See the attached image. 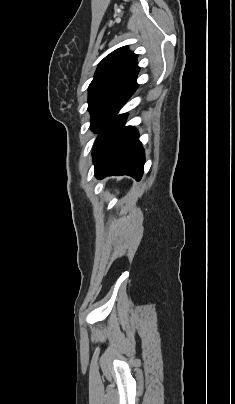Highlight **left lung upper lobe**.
<instances>
[{"label":"left lung upper lobe","instance_id":"5c2ea615","mask_svg":"<svg viewBox=\"0 0 235 404\" xmlns=\"http://www.w3.org/2000/svg\"><path fill=\"white\" fill-rule=\"evenodd\" d=\"M137 56L127 47L119 48L99 64L88 88L91 129L97 132L125 104L138 87Z\"/></svg>","mask_w":235,"mask_h":404}]
</instances>
